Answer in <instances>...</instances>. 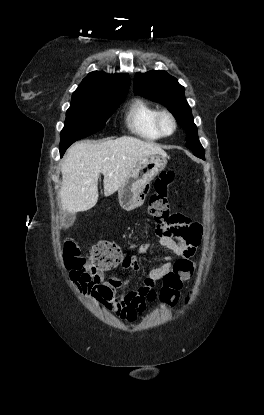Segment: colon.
<instances>
[{"mask_svg":"<svg viewBox=\"0 0 264 415\" xmlns=\"http://www.w3.org/2000/svg\"><path fill=\"white\" fill-rule=\"evenodd\" d=\"M175 178L176 174L173 170L161 172L156 180L155 191L149 200V213L154 219L156 233L159 235H167L171 232L168 227L172 221V216L169 213L168 190L173 185ZM125 257V253L113 241L97 243L87 258L80 255L76 244L71 241L64 244L62 252L64 266L71 274L93 273L108 269L122 262ZM194 265L195 263L192 261H178L174 264L172 271L162 279L159 291V298L162 302L169 305L176 304L183 280ZM153 298L154 293H151L150 301Z\"/></svg>","mask_w":264,"mask_h":415,"instance_id":"obj_1","label":"colon"}]
</instances>
